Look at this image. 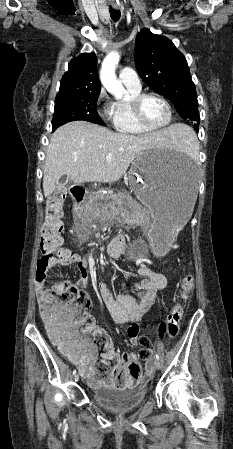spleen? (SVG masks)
Masks as SVG:
<instances>
[{"label":"spleen","instance_id":"obj_1","mask_svg":"<svg viewBox=\"0 0 233 449\" xmlns=\"http://www.w3.org/2000/svg\"><path fill=\"white\" fill-rule=\"evenodd\" d=\"M186 126V124H183ZM173 147L180 152L193 153L198 150V143L194 132L186 126V133L183 134L180 142H176Z\"/></svg>","mask_w":233,"mask_h":449}]
</instances>
